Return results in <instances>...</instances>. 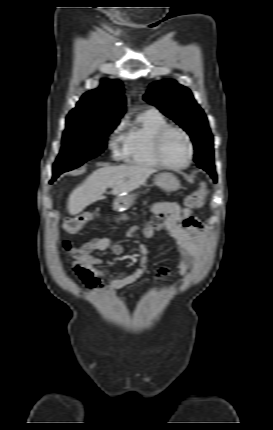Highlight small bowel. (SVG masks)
<instances>
[{"label": "small bowel", "mask_w": 273, "mask_h": 430, "mask_svg": "<svg viewBox=\"0 0 273 430\" xmlns=\"http://www.w3.org/2000/svg\"><path fill=\"white\" fill-rule=\"evenodd\" d=\"M150 211L156 216L153 223L164 226L175 238L178 246V269L180 274L185 276L201 255V249L205 242L202 224L190 211H181L180 206L174 202L155 203L151 206ZM140 235L151 237L153 235L152 227L147 226L141 229L139 226H133L126 233L127 238H138ZM87 246L89 250H111L115 256H120L123 253V247L113 243L109 237L94 238ZM139 248L141 260L136 270L122 278L110 280L108 286L103 282L104 277L100 274L101 262L89 257L88 254H82L81 258L74 259L73 270L80 277V282L85 283L93 293L96 294L99 290L104 291L107 287L115 292L132 285L147 271L148 249L143 244H140Z\"/></svg>", "instance_id": "1"}]
</instances>
